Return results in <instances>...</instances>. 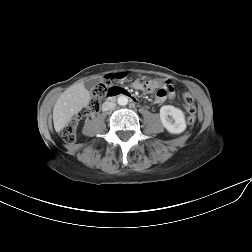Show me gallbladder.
<instances>
[{
	"mask_svg": "<svg viewBox=\"0 0 252 252\" xmlns=\"http://www.w3.org/2000/svg\"><path fill=\"white\" fill-rule=\"evenodd\" d=\"M96 82L95 81H89L85 83V88L88 90H91L95 86Z\"/></svg>",
	"mask_w": 252,
	"mask_h": 252,
	"instance_id": "gallbladder-1",
	"label": "gallbladder"
}]
</instances>
